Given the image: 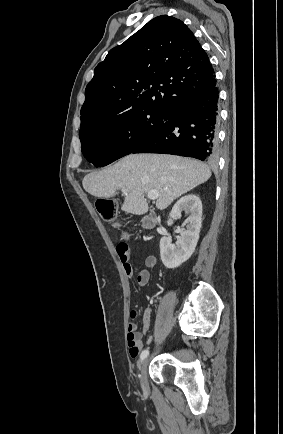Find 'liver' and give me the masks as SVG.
<instances>
[{
  "label": "liver",
  "instance_id": "1",
  "mask_svg": "<svg viewBox=\"0 0 283 434\" xmlns=\"http://www.w3.org/2000/svg\"><path fill=\"white\" fill-rule=\"evenodd\" d=\"M211 177L210 168L197 160L164 154H129L113 166L84 176L89 194L108 198L126 188L121 210L142 215L148 211L145 194L156 190V208L163 210L175 199Z\"/></svg>",
  "mask_w": 283,
  "mask_h": 434
}]
</instances>
